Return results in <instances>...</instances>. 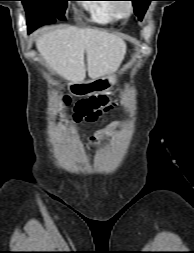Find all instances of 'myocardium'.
<instances>
[{
    "label": "myocardium",
    "mask_w": 194,
    "mask_h": 253,
    "mask_svg": "<svg viewBox=\"0 0 194 253\" xmlns=\"http://www.w3.org/2000/svg\"><path fill=\"white\" fill-rule=\"evenodd\" d=\"M122 3H126L127 4V8L124 9L122 6ZM115 9L119 15V17L121 19H128L134 11V5L131 1H127V2H115Z\"/></svg>",
    "instance_id": "myocardium-1"
}]
</instances>
